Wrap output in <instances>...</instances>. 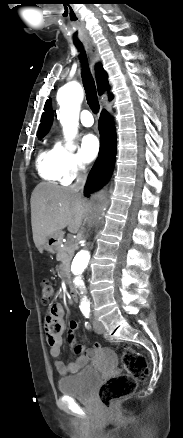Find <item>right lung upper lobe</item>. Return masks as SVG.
<instances>
[{"instance_id": "cb5924a9", "label": "right lung upper lobe", "mask_w": 183, "mask_h": 438, "mask_svg": "<svg viewBox=\"0 0 183 438\" xmlns=\"http://www.w3.org/2000/svg\"><path fill=\"white\" fill-rule=\"evenodd\" d=\"M95 71H96L98 93L99 95H102L106 90H109L108 75L100 64L96 66ZM109 99H112V95H109ZM52 117L53 114L51 109V102L50 99H48L44 107V113L42 114L38 136L45 135L48 132L52 123Z\"/></svg>"}]
</instances>
